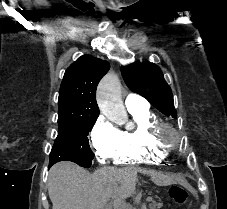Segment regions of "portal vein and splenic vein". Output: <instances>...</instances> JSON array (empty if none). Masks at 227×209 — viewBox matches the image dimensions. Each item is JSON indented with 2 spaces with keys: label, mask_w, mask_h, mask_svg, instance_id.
<instances>
[{
  "label": "portal vein and splenic vein",
  "mask_w": 227,
  "mask_h": 209,
  "mask_svg": "<svg viewBox=\"0 0 227 209\" xmlns=\"http://www.w3.org/2000/svg\"><path fill=\"white\" fill-rule=\"evenodd\" d=\"M146 200H147V201H148V200H149V201H152V200H153V197H152V196H149Z\"/></svg>",
  "instance_id": "18ae733b"
}]
</instances>
